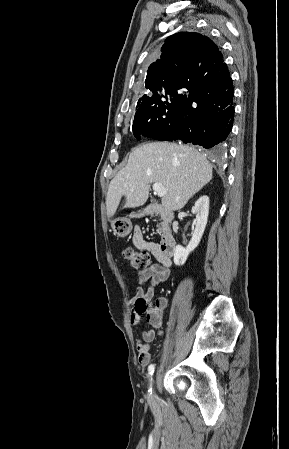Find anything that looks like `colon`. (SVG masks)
Returning <instances> with one entry per match:
<instances>
[{"label": "colon", "instance_id": "1", "mask_svg": "<svg viewBox=\"0 0 289 449\" xmlns=\"http://www.w3.org/2000/svg\"><path fill=\"white\" fill-rule=\"evenodd\" d=\"M123 258L132 268L140 271L148 269L151 265L150 255L146 251L135 250L131 247H127L122 251ZM138 307L141 310L148 309L149 312L155 310L157 306H150L148 301L141 299L138 301Z\"/></svg>", "mask_w": 289, "mask_h": 449}]
</instances>
